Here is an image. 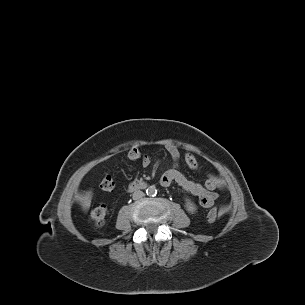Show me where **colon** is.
Returning <instances> with one entry per match:
<instances>
[{
    "instance_id": "obj_1",
    "label": "colon",
    "mask_w": 305,
    "mask_h": 305,
    "mask_svg": "<svg viewBox=\"0 0 305 305\" xmlns=\"http://www.w3.org/2000/svg\"><path fill=\"white\" fill-rule=\"evenodd\" d=\"M127 158L131 161H139L143 157L142 149L139 145H132L127 150ZM115 182L111 176H106L100 183V188L104 191H110L114 188ZM107 208L105 205L95 207L90 213V220L95 226H102L105 223ZM208 220L214 222L219 217L217 208H213L208 212Z\"/></svg>"
}]
</instances>
